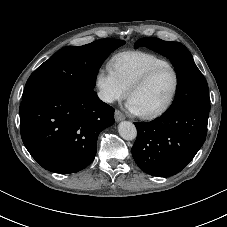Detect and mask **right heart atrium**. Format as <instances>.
Wrapping results in <instances>:
<instances>
[{
  "mask_svg": "<svg viewBox=\"0 0 227 227\" xmlns=\"http://www.w3.org/2000/svg\"><path fill=\"white\" fill-rule=\"evenodd\" d=\"M95 84L99 98L106 104L119 101L127 94V89L110 65H105L98 69L95 76Z\"/></svg>",
  "mask_w": 227,
  "mask_h": 227,
  "instance_id": "obj_1",
  "label": "right heart atrium"
}]
</instances>
